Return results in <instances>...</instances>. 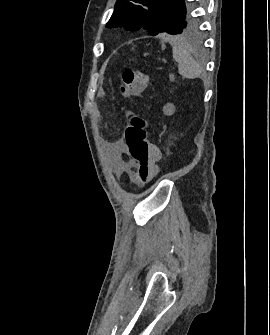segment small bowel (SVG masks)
Returning a JSON list of instances; mask_svg holds the SVG:
<instances>
[{"label": "small bowel", "mask_w": 270, "mask_h": 335, "mask_svg": "<svg viewBox=\"0 0 270 335\" xmlns=\"http://www.w3.org/2000/svg\"><path fill=\"white\" fill-rule=\"evenodd\" d=\"M108 148L115 161V170L118 176L122 174L131 175L134 163L132 160H124L123 155L126 151L125 143L122 139L110 142ZM160 157V155H159Z\"/></svg>", "instance_id": "1"}]
</instances>
